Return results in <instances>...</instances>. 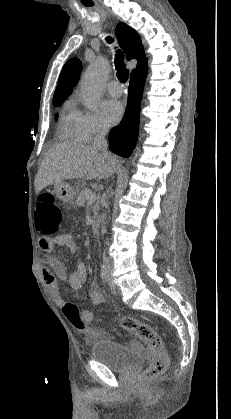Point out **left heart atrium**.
<instances>
[{"label":"left heart atrium","mask_w":231,"mask_h":419,"mask_svg":"<svg viewBox=\"0 0 231 419\" xmlns=\"http://www.w3.org/2000/svg\"><path fill=\"white\" fill-rule=\"evenodd\" d=\"M124 113L123 105L116 99H109L102 104V116L109 125L118 123Z\"/></svg>","instance_id":"obj_1"}]
</instances>
